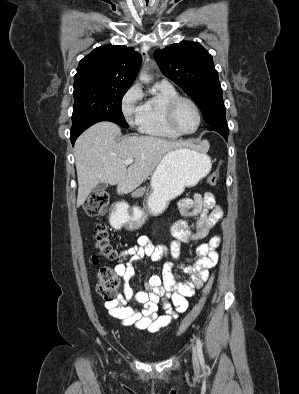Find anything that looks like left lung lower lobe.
Listing matches in <instances>:
<instances>
[{
	"mask_svg": "<svg viewBox=\"0 0 299 394\" xmlns=\"http://www.w3.org/2000/svg\"><path fill=\"white\" fill-rule=\"evenodd\" d=\"M208 129L220 133L225 138V140H227V137H228V126H227V124L212 125Z\"/></svg>",
	"mask_w": 299,
	"mask_h": 394,
	"instance_id": "obj_1",
	"label": "left lung lower lobe"
}]
</instances>
